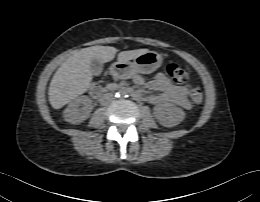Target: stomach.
Returning a JSON list of instances; mask_svg holds the SVG:
<instances>
[{"mask_svg": "<svg viewBox=\"0 0 260 202\" xmlns=\"http://www.w3.org/2000/svg\"><path fill=\"white\" fill-rule=\"evenodd\" d=\"M162 64V57L153 51H148L134 58L132 62H117L113 66L116 78L128 79L136 73L148 74L155 71Z\"/></svg>", "mask_w": 260, "mask_h": 202, "instance_id": "0dacf381", "label": "stomach"}]
</instances>
